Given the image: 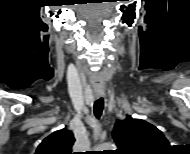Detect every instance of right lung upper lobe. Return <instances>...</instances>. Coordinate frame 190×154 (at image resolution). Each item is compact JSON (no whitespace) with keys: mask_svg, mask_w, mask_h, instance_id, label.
<instances>
[{"mask_svg":"<svg viewBox=\"0 0 190 154\" xmlns=\"http://www.w3.org/2000/svg\"><path fill=\"white\" fill-rule=\"evenodd\" d=\"M73 133L67 129L55 131L38 146L35 154H73Z\"/></svg>","mask_w":190,"mask_h":154,"instance_id":"cb5924a9","label":"right lung upper lobe"}]
</instances>
